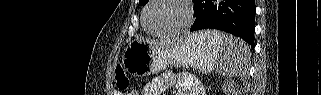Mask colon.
<instances>
[{
	"instance_id": "colon-1",
	"label": "colon",
	"mask_w": 321,
	"mask_h": 95,
	"mask_svg": "<svg viewBox=\"0 0 321 95\" xmlns=\"http://www.w3.org/2000/svg\"><path fill=\"white\" fill-rule=\"evenodd\" d=\"M114 76L118 89L126 90L129 86V79L122 66H116Z\"/></svg>"
}]
</instances>
